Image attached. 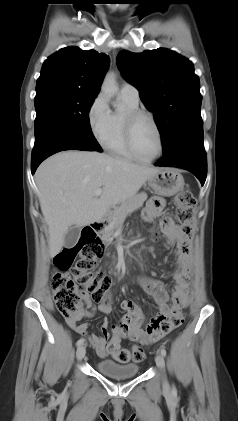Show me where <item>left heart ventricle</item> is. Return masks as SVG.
<instances>
[{
  "label": "left heart ventricle",
  "mask_w": 238,
  "mask_h": 421,
  "mask_svg": "<svg viewBox=\"0 0 238 421\" xmlns=\"http://www.w3.org/2000/svg\"><path fill=\"white\" fill-rule=\"evenodd\" d=\"M133 141L137 153L145 159L154 157L158 152L157 132L151 121L145 117H141L136 122L133 131Z\"/></svg>",
  "instance_id": "b2bd125f"
}]
</instances>
